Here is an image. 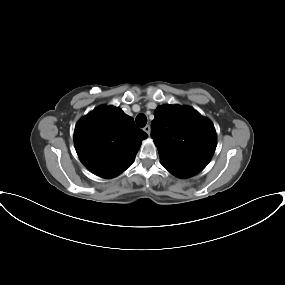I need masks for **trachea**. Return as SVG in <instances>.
Segmentation results:
<instances>
[{"label": "trachea", "mask_w": 285, "mask_h": 285, "mask_svg": "<svg viewBox=\"0 0 285 285\" xmlns=\"http://www.w3.org/2000/svg\"><path fill=\"white\" fill-rule=\"evenodd\" d=\"M147 123V117L144 115V114H139L137 115L136 117V124L139 126V127H144Z\"/></svg>", "instance_id": "1"}]
</instances>
